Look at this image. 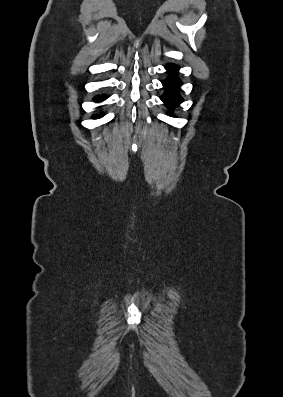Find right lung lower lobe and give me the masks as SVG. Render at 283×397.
Here are the masks:
<instances>
[{"instance_id":"1","label":"right lung lower lobe","mask_w":283,"mask_h":397,"mask_svg":"<svg viewBox=\"0 0 283 397\" xmlns=\"http://www.w3.org/2000/svg\"><path fill=\"white\" fill-rule=\"evenodd\" d=\"M103 99H105L104 97H99V96H95L94 98H93V100L95 101V102H98V101H100V100H103ZM102 116H104V114H100V115H97V116H93L92 118L93 119H95V118H100V117H102Z\"/></svg>"}]
</instances>
